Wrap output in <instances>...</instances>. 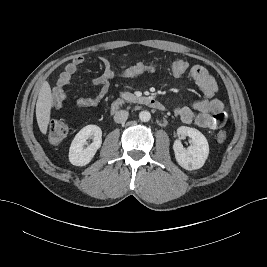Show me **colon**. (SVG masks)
Here are the masks:
<instances>
[{"mask_svg": "<svg viewBox=\"0 0 267 267\" xmlns=\"http://www.w3.org/2000/svg\"><path fill=\"white\" fill-rule=\"evenodd\" d=\"M188 68H189V64L188 62L184 60L174 61L170 65L165 66V67L158 66L154 63L137 62L135 64L125 66L118 71H115L114 79L133 78L141 74L153 73V72L162 71V70L167 71L173 74L174 76H181L184 73H186ZM68 130H69L68 125L65 122L59 121V120L51 121L48 126L49 140L54 144H58L62 142L66 138L68 134ZM226 137H227V134L223 130L217 133V139L220 142H223L226 139Z\"/></svg>", "mask_w": 267, "mask_h": 267, "instance_id": "1", "label": "colon"}]
</instances>
